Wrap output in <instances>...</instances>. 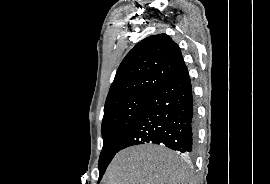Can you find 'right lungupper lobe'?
Instances as JSON below:
<instances>
[{
	"instance_id": "1",
	"label": "right lung upper lobe",
	"mask_w": 270,
	"mask_h": 184,
	"mask_svg": "<svg viewBox=\"0 0 270 184\" xmlns=\"http://www.w3.org/2000/svg\"><path fill=\"white\" fill-rule=\"evenodd\" d=\"M185 66L180 48L166 34L140 41L117 70L106 104L133 95L150 96Z\"/></svg>"
}]
</instances>
